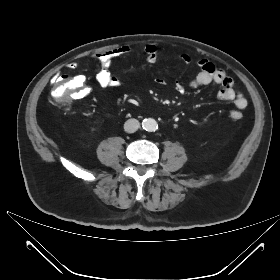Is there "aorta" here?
<instances>
[{
    "mask_svg": "<svg viewBox=\"0 0 280 280\" xmlns=\"http://www.w3.org/2000/svg\"><path fill=\"white\" fill-rule=\"evenodd\" d=\"M142 126L146 131L152 132L157 129L158 124L154 119L148 118L143 120Z\"/></svg>",
    "mask_w": 280,
    "mask_h": 280,
    "instance_id": "aorta-1",
    "label": "aorta"
}]
</instances>
